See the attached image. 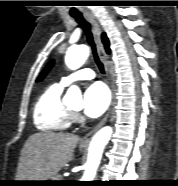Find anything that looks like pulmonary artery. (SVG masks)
Masks as SVG:
<instances>
[{
	"label": "pulmonary artery",
	"instance_id": "pulmonary-artery-1",
	"mask_svg": "<svg viewBox=\"0 0 178 186\" xmlns=\"http://www.w3.org/2000/svg\"><path fill=\"white\" fill-rule=\"evenodd\" d=\"M95 77V73L93 70L89 69V68H83L75 73H72L68 76H65L62 78L61 80V84L63 86H67L69 84H71L74 81L77 80H90L93 79Z\"/></svg>",
	"mask_w": 178,
	"mask_h": 186
}]
</instances>
